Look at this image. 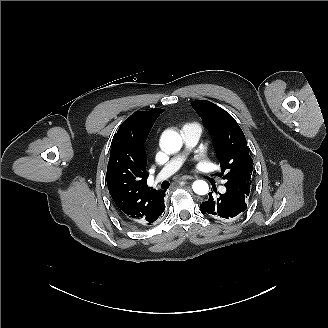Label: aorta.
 <instances>
[{"label": "aorta", "instance_id": "aorta-1", "mask_svg": "<svg viewBox=\"0 0 328 328\" xmlns=\"http://www.w3.org/2000/svg\"><path fill=\"white\" fill-rule=\"evenodd\" d=\"M160 143L167 152H177L182 147V138L175 131H168L162 134ZM193 191L198 195H205L209 191L207 182L196 180L192 185Z\"/></svg>", "mask_w": 328, "mask_h": 328}]
</instances>
